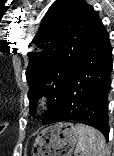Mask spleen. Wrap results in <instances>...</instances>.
Masks as SVG:
<instances>
[{"mask_svg":"<svg viewBox=\"0 0 114 156\" xmlns=\"http://www.w3.org/2000/svg\"><path fill=\"white\" fill-rule=\"evenodd\" d=\"M78 142L74 155L78 156H107L105 138L93 127L77 124Z\"/></svg>","mask_w":114,"mask_h":156,"instance_id":"spleen-1","label":"spleen"}]
</instances>
